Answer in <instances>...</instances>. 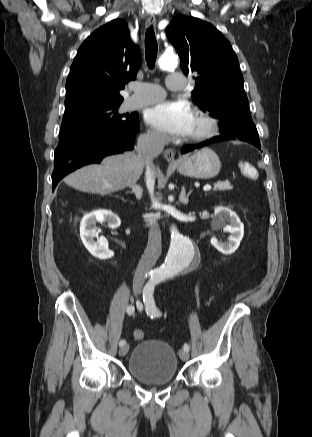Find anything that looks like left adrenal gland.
<instances>
[{"instance_id": "a2214340", "label": "left adrenal gland", "mask_w": 312, "mask_h": 437, "mask_svg": "<svg viewBox=\"0 0 312 437\" xmlns=\"http://www.w3.org/2000/svg\"><path fill=\"white\" fill-rule=\"evenodd\" d=\"M191 190L187 193L185 192V188H182L181 194H180V201L182 204H188L189 202V196L191 195Z\"/></svg>"}]
</instances>
